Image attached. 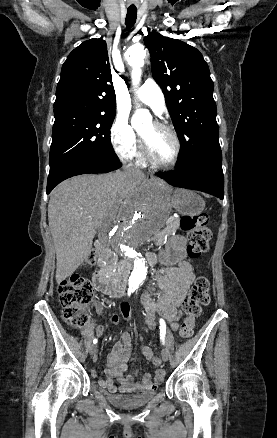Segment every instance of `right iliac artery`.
Wrapping results in <instances>:
<instances>
[{
  "label": "right iliac artery",
  "instance_id": "right-iliac-artery-1",
  "mask_svg": "<svg viewBox=\"0 0 277 438\" xmlns=\"http://www.w3.org/2000/svg\"><path fill=\"white\" fill-rule=\"evenodd\" d=\"M93 343H94V344H96V343H97V339H96V338H95V339L93 340Z\"/></svg>",
  "mask_w": 277,
  "mask_h": 438
}]
</instances>
